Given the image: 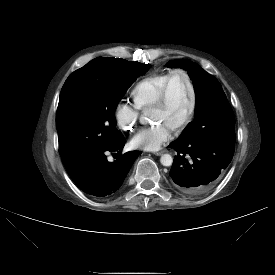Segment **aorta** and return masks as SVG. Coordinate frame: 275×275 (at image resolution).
I'll list each match as a JSON object with an SVG mask.
<instances>
[{"mask_svg":"<svg viewBox=\"0 0 275 275\" xmlns=\"http://www.w3.org/2000/svg\"><path fill=\"white\" fill-rule=\"evenodd\" d=\"M147 120V113L145 112L141 117H140V123L145 124ZM160 162L163 166H171L173 163V158L170 154H164L160 158Z\"/></svg>","mask_w":275,"mask_h":275,"instance_id":"762f6f07","label":"aorta"}]
</instances>
